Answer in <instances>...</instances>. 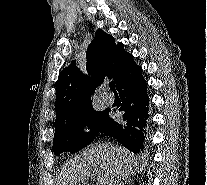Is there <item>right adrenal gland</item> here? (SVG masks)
I'll use <instances>...</instances> for the list:
<instances>
[{
    "label": "right adrenal gland",
    "instance_id": "1",
    "mask_svg": "<svg viewBox=\"0 0 207 185\" xmlns=\"http://www.w3.org/2000/svg\"><path fill=\"white\" fill-rule=\"evenodd\" d=\"M132 181L133 179H122V181H120V185H134Z\"/></svg>",
    "mask_w": 207,
    "mask_h": 185
}]
</instances>
